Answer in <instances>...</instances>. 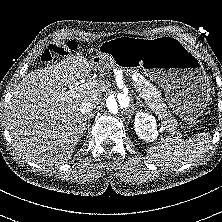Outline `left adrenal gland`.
<instances>
[{"instance_id":"a2214340","label":"left adrenal gland","mask_w":222,"mask_h":222,"mask_svg":"<svg viewBox=\"0 0 222 222\" xmlns=\"http://www.w3.org/2000/svg\"><path fill=\"white\" fill-rule=\"evenodd\" d=\"M137 104H139V106H142V107H144L145 106V104L143 103V101L140 99V97H137Z\"/></svg>"}]
</instances>
